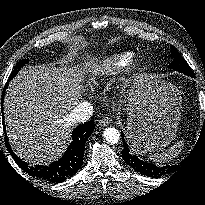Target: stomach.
Segmentation results:
<instances>
[{
    "instance_id": "obj_1",
    "label": "stomach",
    "mask_w": 205,
    "mask_h": 205,
    "mask_svg": "<svg viewBox=\"0 0 205 205\" xmlns=\"http://www.w3.org/2000/svg\"><path fill=\"white\" fill-rule=\"evenodd\" d=\"M177 88L139 79L133 86L127 115L128 138L138 150L154 151L175 138L181 120Z\"/></svg>"
}]
</instances>
